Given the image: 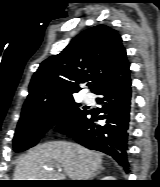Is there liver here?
Segmentation results:
<instances>
[{"instance_id":"1","label":"liver","mask_w":160,"mask_h":187,"mask_svg":"<svg viewBox=\"0 0 160 187\" xmlns=\"http://www.w3.org/2000/svg\"><path fill=\"white\" fill-rule=\"evenodd\" d=\"M100 153L70 142L53 141L36 146L17 163L14 180H60L63 168L70 180H89L101 168Z\"/></svg>"}]
</instances>
